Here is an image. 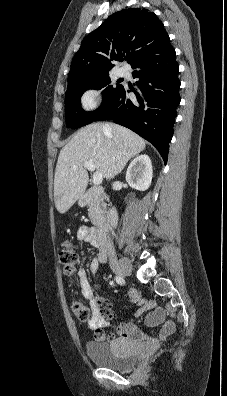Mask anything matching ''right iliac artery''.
<instances>
[{
    "label": "right iliac artery",
    "instance_id": "right-iliac-artery-1",
    "mask_svg": "<svg viewBox=\"0 0 227 396\" xmlns=\"http://www.w3.org/2000/svg\"><path fill=\"white\" fill-rule=\"evenodd\" d=\"M115 281H116L118 284H120V285H124V284H125L124 279H123L122 277H120V276H115Z\"/></svg>",
    "mask_w": 227,
    "mask_h": 396
}]
</instances>
